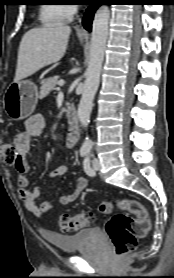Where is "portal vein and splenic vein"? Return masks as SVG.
<instances>
[{"instance_id":"obj_1","label":"portal vein and splenic vein","mask_w":174,"mask_h":278,"mask_svg":"<svg viewBox=\"0 0 174 278\" xmlns=\"http://www.w3.org/2000/svg\"><path fill=\"white\" fill-rule=\"evenodd\" d=\"M58 85H59V86H63V85H64V81H63V80H60V81L58 82Z\"/></svg>"}]
</instances>
